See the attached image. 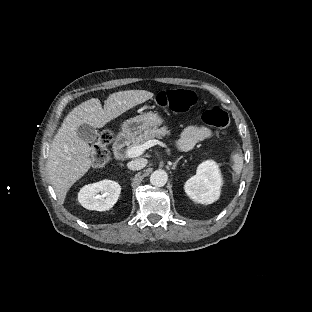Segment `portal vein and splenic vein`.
<instances>
[{"label":"portal vein and splenic vein","instance_id":"1","mask_svg":"<svg viewBox=\"0 0 312 312\" xmlns=\"http://www.w3.org/2000/svg\"><path fill=\"white\" fill-rule=\"evenodd\" d=\"M155 145H163L165 146V150H166V153L168 155H171V149L169 146H166L164 145L160 140L158 139H153V140H150L148 141L145 145H144V148L143 147H133V148H130L128 149L126 152H125V156L127 158H134V157H137L139 155L142 154L143 152V149H147L149 147H152V146H155Z\"/></svg>","mask_w":312,"mask_h":312}]
</instances>
